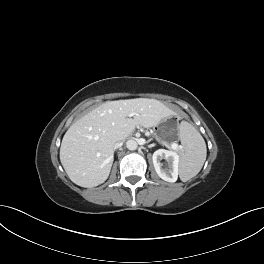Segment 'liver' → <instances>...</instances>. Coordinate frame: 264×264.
I'll return each mask as SVG.
<instances>
[{
    "label": "liver",
    "mask_w": 264,
    "mask_h": 264,
    "mask_svg": "<svg viewBox=\"0 0 264 264\" xmlns=\"http://www.w3.org/2000/svg\"><path fill=\"white\" fill-rule=\"evenodd\" d=\"M171 115L173 111L155 99L105 102L67 130L60 147L61 164L75 184L98 186L110 174L115 142L125 140L137 125L157 126Z\"/></svg>",
    "instance_id": "liver-1"
}]
</instances>
